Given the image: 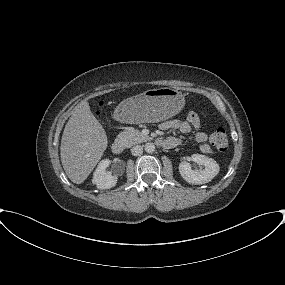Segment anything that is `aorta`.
<instances>
[{
  "label": "aorta",
  "instance_id": "1",
  "mask_svg": "<svg viewBox=\"0 0 285 285\" xmlns=\"http://www.w3.org/2000/svg\"><path fill=\"white\" fill-rule=\"evenodd\" d=\"M145 151L147 152V153H153L154 151H155V145L153 144V143H146L145 144Z\"/></svg>",
  "mask_w": 285,
  "mask_h": 285
}]
</instances>
